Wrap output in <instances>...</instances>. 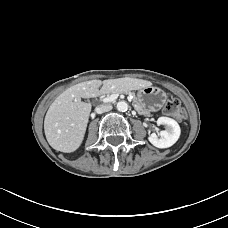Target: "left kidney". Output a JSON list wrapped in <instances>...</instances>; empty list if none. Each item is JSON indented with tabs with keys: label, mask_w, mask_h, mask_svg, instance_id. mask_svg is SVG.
<instances>
[{
	"label": "left kidney",
	"mask_w": 228,
	"mask_h": 228,
	"mask_svg": "<svg viewBox=\"0 0 228 228\" xmlns=\"http://www.w3.org/2000/svg\"><path fill=\"white\" fill-rule=\"evenodd\" d=\"M157 124L165 125L166 130L161 131L159 135L155 133L149 135L148 140L150 143L157 148H168L174 145L181 133L178 123L169 117H159Z\"/></svg>",
	"instance_id": "1"
}]
</instances>
